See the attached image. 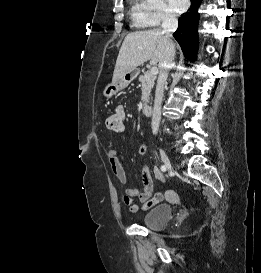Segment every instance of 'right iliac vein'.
Here are the masks:
<instances>
[{"label": "right iliac vein", "mask_w": 261, "mask_h": 273, "mask_svg": "<svg viewBox=\"0 0 261 273\" xmlns=\"http://www.w3.org/2000/svg\"><path fill=\"white\" fill-rule=\"evenodd\" d=\"M160 156H161V159L165 165V167L170 170L172 168V165H171V162L167 156V154L165 153V151L163 149H160Z\"/></svg>", "instance_id": "right-iliac-vein-1"}]
</instances>
